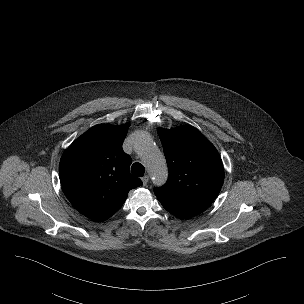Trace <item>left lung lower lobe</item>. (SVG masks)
<instances>
[{
  "label": "left lung lower lobe",
  "mask_w": 304,
  "mask_h": 304,
  "mask_svg": "<svg viewBox=\"0 0 304 304\" xmlns=\"http://www.w3.org/2000/svg\"><path fill=\"white\" fill-rule=\"evenodd\" d=\"M163 207H164L168 212H170L171 214H173V215H175V216H177V217H179V218H181V219L190 217V216H188V215H186V214L180 212L179 210H176V209H174V208L168 207V206H166V205H163Z\"/></svg>",
  "instance_id": "0a47b994"
}]
</instances>
